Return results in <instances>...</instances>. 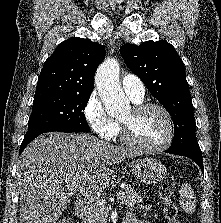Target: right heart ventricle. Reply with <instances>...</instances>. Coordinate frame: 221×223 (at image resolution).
<instances>
[{
  "mask_svg": "<svg viewBox=\"0 0 221 223\" xmlns=\"http://www.w3.org/2000/svg\"><path fill=\"white\" fill-rule=\"evenodd\" d=\"M141 101H138L137 103H140ZM118 132H119V125H118Z\"/></svg>",
  "mask_w": 221,
  "mask_h": 223,
  "instance_id": "right-heart-ventricle-1",
  "label": "right heart ventricle"
}]
</instances>
